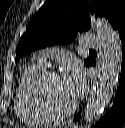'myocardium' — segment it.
Segmentation results:
<instances>
[{"label": "myocardium", "instance_id": "myocardium-1", "mask_svg": "<svg viewBox=\"0 0 125 128\" xmlns=\"http://www.w3.org/2000/svg\"><path fill=\"white\" fill-rule=\"evenodd\" d=\"M58 75V72L55 70H43L33 80L30 88L31 96L36 108L50 121L68 117L76 110L77 107L76 100H74L68 108L60 111H55L46 104L42 95L43 86L49 79Z\"/></svg>", "mask_w": 125, "mask_h": 128}]
</instances>
